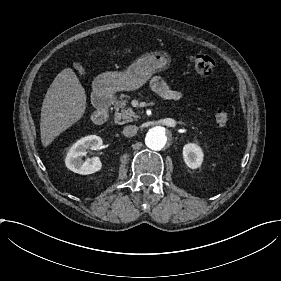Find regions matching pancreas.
<instances>
[{
    "instance_id": "cf45deb5",
    "label": "pancreas",
    "mask_w": 281,
    "mask_h": 281,
    "mask_svg": "<svg viewBox=\"0 0 281 281\" xmlns=\"http://www.w3.org/2000/svg\"><path fill=\"white\" fill-rule=\"evenodd\" d=\"M126 99L128 96H122L120 100H114L115 117L114 121L118 124L133 122L137 118L132 108H126Z\"/></svg>"
}]
</instances>
